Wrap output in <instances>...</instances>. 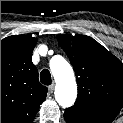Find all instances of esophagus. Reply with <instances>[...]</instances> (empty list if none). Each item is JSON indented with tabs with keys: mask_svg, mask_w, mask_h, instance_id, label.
Listing matches in <instances>:
<instances>
[{
	"mask_svg": "<svg viewBox=\"0 0 123 123\" xmlns=\"http://www.w3.org/2000/svg\"><path fill=\"white\" fill-rule=\"evenodd\" d=\"M54 87H55V84H54V82H52V84L49 85V87H48L49 91L53 92L54 91Z\"/></svg>",
	"mask_w": 123,
	"mask_h": 123,
	"instance_id": "esophagus-1",
	"label": "esophagus"
}]
</instances>
